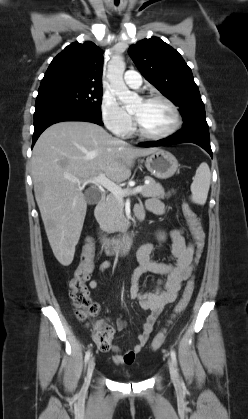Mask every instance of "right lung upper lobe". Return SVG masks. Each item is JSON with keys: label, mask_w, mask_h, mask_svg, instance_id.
<instances>
[{"label": "right lung upper lobe", "mask_w": 248, "mask_h": 419, "mask_svg": "<svg viewBox=\"0 0 248 419\" xmlns=\"http://www.w3.org/2000/svg\"><path fill=\"white\" fill-rule=\"evenodd\" d=\"M102 50L91 41L68 45L50 63L40 89L85 87L102 89Z\"/></svg>", "instance_id": "1"}]
</instances>
